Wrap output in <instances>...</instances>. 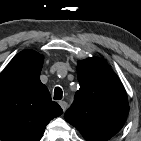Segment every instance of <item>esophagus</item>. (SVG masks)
<instances>
[{
    "label": "esophagus",
    "instance_id": "34e87169",
    "mask_svg": "<svg viewBox=\"0 0 141 141\" xmlns=\"http://www.w3.org/2000/svg\"><path fill=\"white\" fill-rule=\"evenodd\" d=\"M59 105L61 106L62 110L65 112L67 109V103L65 101H60Z\"/></svg>",
    "mask_w": 141,
    "mask_h": 141
}]
</instances>
